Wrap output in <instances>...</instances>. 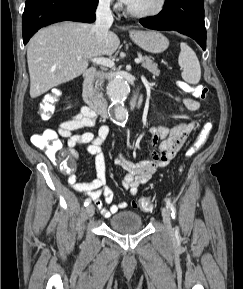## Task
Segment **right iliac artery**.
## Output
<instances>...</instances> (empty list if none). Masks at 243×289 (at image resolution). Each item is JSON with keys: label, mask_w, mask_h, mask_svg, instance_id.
I'll return each instance as SVG.
<instances>
[{"label": "right iliac artery", "mask_w": 243, "mask_h": 289, "mask_svg": "<svg viewBox=\"0 0 243 289\" xmlns=\"http://www.w3.org/2000/svg\"><path fill=\"white\" fill-rule=\"evenodd\" d=\"M91 200L87 198L84 202V206H88L90 204Z\"/></svg>", "instance_id": "82829eb1"}]
</instances>
